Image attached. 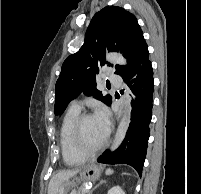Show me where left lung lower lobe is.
I'll return each instance as SVG.
<instances>
[{"mask_svg":"<svg viewBox=\"0 0 201 194\" xmlns=\"http://www.w3.org/2000/svg\"><path fill=\"white\" fill-rule=\"evenodd\" d=\"M131 89L134 98L131 101V122L125 139L117 150H107L98 162L106 164H128L141 176L147 143L149 123L152 118L154 78L148 46L143 39L130 63V67L121 76Z\"/></svg>","mask_w":201,"mask_h":194,"instance_id":"1","label":"left lung lower lobe"}]
</instances>
